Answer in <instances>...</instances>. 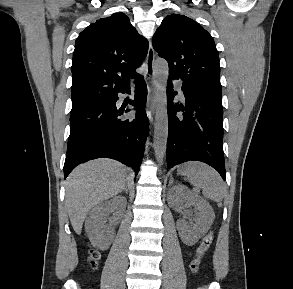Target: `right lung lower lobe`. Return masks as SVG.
<instances>
[{"mask_svg":"<svg viewBox=\"0 0 293 289\" xmlns=\"http://www.w3.org/2000/svg\"><path fill=\"white\" fill-rule=\"evenodd\" d=\"M121 92L128 93V90ZM117 94L82 113L70 116L64 178L80 163L96 158H112L131 166L136 173L139 171L149 133L144 109L147 86L143 77L136 81L135 98L129 102L137 108L134 117H121L124 109L118 110L116 107Z\"/></svg>","mask_w":293,"mask_h":289,"instance_id":"right-lung-lower-lobe-1","label":"right lung lower lobe"}]
</instances>
